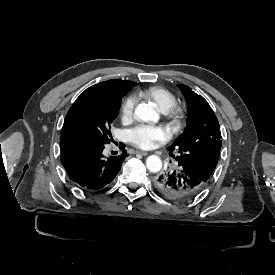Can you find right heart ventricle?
Wrapping results in <instances>:
<instances>
[{
    "label": "right heart ventricle",
    "mask_w": 275,
    "mask_h": 275,
    "mask_svg": "<svg viewBox=\"0 0 275 275\" xmlns=\"http://www.w3.org/2000/svg\"><path fill=\"white\" fill-rule=\"evenodd\" d=\"M139 95L155 101L163 110L175 105L176 102L174 95L160 86H151L141 90Z\"/></svg>",
    "instance_id": "e07e8e85"
}]
</instances>
